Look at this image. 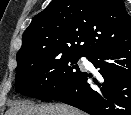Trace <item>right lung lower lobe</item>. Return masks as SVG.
I'll list each match as a JSON object with an SVG mask.
<instances>
[{
    "instance_id": "right-lung-lower-lobe-1",
    "label": "right lung lower lobe",
    "mask_w": 131,
    "mask_h": 115,
    "mask_svg": "<svg viewBox=\"0 0 131 115\" xmlns=\"http://www.w3.org/2000/svg\"><path fill=\"white\" fill-rule=\"evenodd\" d=\"M99 68L100 81L82 72L59 96L65 104L91 115H131V45L102 50L88 58Z\"/></svg>"
}]
</instances>
